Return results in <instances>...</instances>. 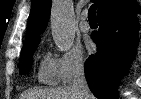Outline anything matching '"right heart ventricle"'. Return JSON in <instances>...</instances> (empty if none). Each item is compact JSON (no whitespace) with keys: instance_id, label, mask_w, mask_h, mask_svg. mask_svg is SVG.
I'll use <instances>...</instances> for the list:
<instances>
[{"instance_id":"right-heart-ventricle-1","label":"right heart ventricle","mask_w":141,"mask_h":99,"mask_svg":"<svg viewBox=\"0 0 141 99\" xmlns=\"http://www.w3.org/2000/svg\"><path fill=\"white\" fill-rule=\"evenodd\" d=\"M37 78L39 82L46 85H55L58 81L56 60L49 54L45 55L40 62Z\"/></svg>"}]
</instances>
